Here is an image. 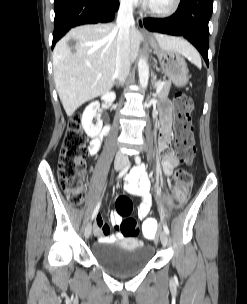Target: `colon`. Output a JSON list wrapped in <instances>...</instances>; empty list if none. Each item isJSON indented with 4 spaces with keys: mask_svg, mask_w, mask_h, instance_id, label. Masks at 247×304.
I'll use <instances>...</instances> for the list:
<instances>
[{
    "mask_svg": "<svg viewBox=\"0 0 247 304\" xmlns=\"http://www.w3.org/2000/svg\"><path fill=\"white\" fill-rule=\"evenodd\" d=\"M175 118V148L182 164H190L195 154V141L191 123L193 102L185 94H177L174 98ZM88 149L82 132L81 115L74 114L67 127L59 155L58 177L60 185L68 200L74 205H80L85 198L83 179L85 176V157ZM191 184L190 174L180 168L174 178L173 192L178 205L184 203ZM133 205L129 198L120 197L116 203V211L126 217L120 224V231L125 237L134 238L140 234L138 222L129 218ZM157 224L154 220H147L142 232L143 238H153Z\"/></svg>",
    "mask_w": 247,
    "mask_h": 304,
    "instance_id": "obj_1",
    "label": "colon"
}]
</instances>
